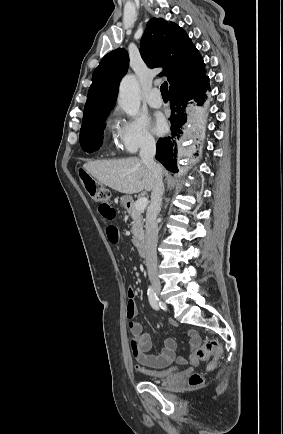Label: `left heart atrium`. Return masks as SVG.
Listing matches in <instances>:
<instances>
[{
    "label": "left heart atrium",
    "instance_id": "1",
    "mask_svg": "<svg viewBox=\"0 0 283 434\" xmlns=\"http://www.w3.org/2000/svg\"><path fill=\"white\" fill-rule=\"evenodd\" d=\"M153 129L157 134H162L165 132L166 130V122L164 120V118L161 115H158L155 118L154 124H153Z\"/></svg>",
    "mask_w": 283,
    "mask_h": 434
}]
</instances>
